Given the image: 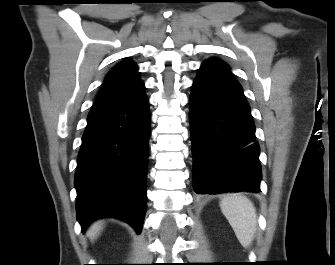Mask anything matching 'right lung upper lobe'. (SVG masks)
Segmentation results:
<instances>
[{
    "mask_svg": "<svg viewBox=\"0 0 335 265\" xmlns=\"http://www.w3.org/2000/svg\"><path fill=\"white\" fill-rule=\"evenodd\" d=\"M144 88L137 65L125 59L109 71L94 105L131 99L143 93Z\"/></svg>",
    "mask_w": 335,
    "mask_h": 265,
    "instance_id": "right-lung-upper-lobe-1",
    "label": "right lung upper lobe"
}]
</instances>
